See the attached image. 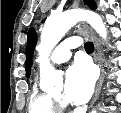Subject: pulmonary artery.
I'll use <instances>...</instances> for the list:
<instances>
[{"label":"pulmonary artery","instance_id":"e3ab8cb5","mask_svg":"<svg viewBox=\"0 0 121 113\" xmlns=\"http://www.w3.org/2000/svg\"><path fill=\"white\" fill-rule=\"evenodd\" d=\"M80 45V40L77 37H70L63 42H61L52 55L50 56V61L53 64H62L67 62L71 55L72 50Z\"/></svg>","mask_w":121,"mask_h":113}]
</instances>
